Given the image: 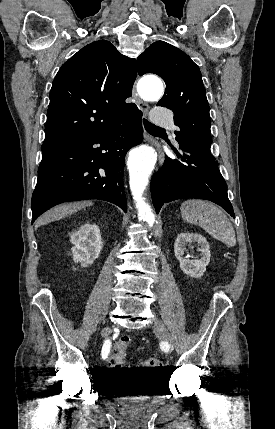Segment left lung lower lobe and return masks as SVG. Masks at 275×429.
<instances>
[{"label":"left lung lower lobe","instance_id":"1","mask_svg":"<svg viewBox=\"0 0 275 429\" xmlns=\"http://www.w3.org/2000/svg\"><path fill=\"white\" fill-rule=\"evenodd\" d=\"M179 147L181 153L173 147L178 159L166 156L163 166L152 177L151 196L156 212L164 203L198 198L220 205L235 218L227 195V184L210 147L195 141L184 142Z\"/></svg>","mask_w":275,"mask_h":429}]
</instances>
